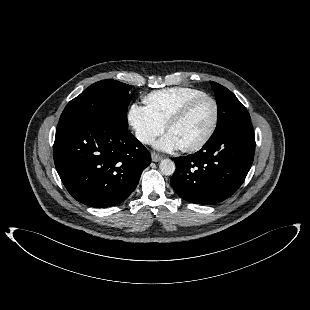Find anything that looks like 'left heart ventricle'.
I'll list each match as a JSON object with an SVG mask.
<instances>
[{"instance_id":"left-heart-ventricle-1","label":"left heart ventricle","mask_w":310,"mask_h":310,"mask_svg":"<svg viewBox=\"0 0 310 310\" xmlns=\"http://www.w3.org/2000/svg\"><path fill=\"white\" fill-rule=\"evenodd\" d=\"M214 114L213 104L203 100L196 104L188 115L169 131L174 133L182 146L197 143L208 131Z\"/></svg>"}]
</instances>
